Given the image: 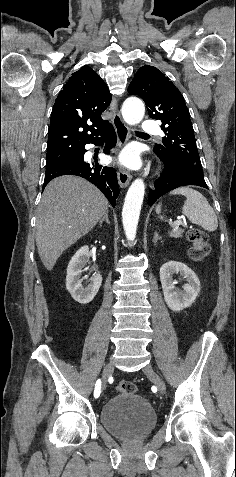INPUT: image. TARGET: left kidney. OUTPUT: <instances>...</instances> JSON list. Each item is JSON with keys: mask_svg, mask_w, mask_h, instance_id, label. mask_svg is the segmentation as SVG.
I'll list each match as a JSON object with an SVG mask.
<instances>
[{"mask_svg": "<svg viewBox=\"0 0 236 477\" xmlns=\"http://www.w3.org/2000/svg\"><path fill=\"white\" fill-rule=\"evenodd\" d=\"M179 273L187 280L183 290L175 287L173 275ZM160 281L162 284L164 300L168 307L175 312L190 307L200 292V281L193 270L181 262L169 261L160 268Z\"/></svg>", "mask_w": 236, "mask_h": 477, "instance_id": "1", "label": "left kidney"}]
</instances>
